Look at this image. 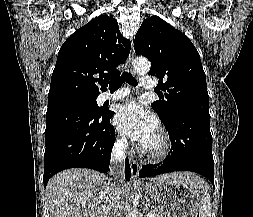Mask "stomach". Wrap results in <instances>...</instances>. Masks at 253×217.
Segmentation results:
<instances>
[{"instance_id":"obj_1","label":"stomach","mask_w":253,"mask_h":217,"mask_svg":"<svg viewBox=\"0 0 253 217\" xmlns=\"http://www.w3.org/2000/svg\"><path fill=\"white\" fill-rule=\"evenodd\" d=\"M143 188L159 204L165 217H197L201 202L198 187L168 176L156 182H146Z\"/></svg>"}]
</instances>
